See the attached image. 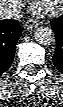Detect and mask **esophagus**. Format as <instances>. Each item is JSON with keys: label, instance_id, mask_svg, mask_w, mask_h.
Instances as JSON below:
<instances>
[{"label": "esophagus", "instance_id": "34e87169", "mask_svg": "<svg viewBox=\"0 0 63 107\" xmlns=\"http://www.w3.org/2000/svg\"><path fill=\"white\" fill-rule=\"evenodd\" d=\"M37 26H38L37 21H35V20H33V19H29V20H27V22L25 23L24 28L29 30V29L36 28Z\"/></svg>", "mask_w": 63, "mask_h": 107}]
</instances>
